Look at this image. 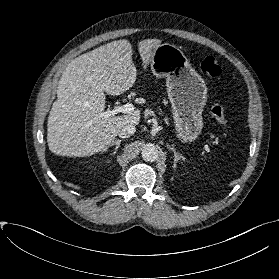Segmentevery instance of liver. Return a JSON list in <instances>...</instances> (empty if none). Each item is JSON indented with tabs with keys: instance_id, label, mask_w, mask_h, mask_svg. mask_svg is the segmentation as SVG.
Returning a JSON list of instances; mask_svg holds the SVG:
<instances>
[{
	"instance_id": "6515ba94",
	"label": "liver",
	"mask_w": 279,
	"mask_h": 279,
	"mask_svg": "<svg viewBox=\"0 0 279 279\" xmlns=\"http://www.w3.org/2000/svg\"><path fill=\"white\" fill-rule=\"evenodd\" d=\"M159 39L142 40L138 50L144 68ZM132 45L117 40L72 60L63 71L47 123V142L56 155L80 157L104 151L126 125L136 126L140 111L103 116L106 94L117 96L136 81Z\"/></svg>"
}]
</instances>
